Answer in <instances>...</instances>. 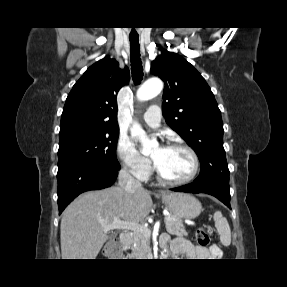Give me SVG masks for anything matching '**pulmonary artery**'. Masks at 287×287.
I'll return each mask as SVG.
<instances>
[{
    "label": "pulmonary artery",
    "instance_id": "e3ab8cb5",
    "mask_svg": "<svg viewBox=\"0 0 287 287\" xmlns=\"http://www.w3.org/2000/svg\"><path fill=\"white\" fill-rule=\"evenodd\" d=\"M143 120L150 127H158L161 121L160 108L157 105H151L143 114Z\"/></svg>",
    "mask_w": 287,
    "mask_h": 287
}]
</instances>
